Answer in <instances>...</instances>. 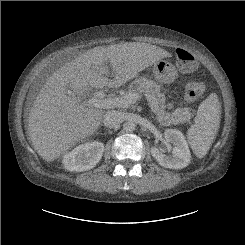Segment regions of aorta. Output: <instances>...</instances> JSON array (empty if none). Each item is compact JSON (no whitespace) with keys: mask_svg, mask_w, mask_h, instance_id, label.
<instances>
[{"mask_svg":"<svg viewBox=\"0 0 245 245\" xmlns=\"http://www.w3.org/2000/svg\"><path fill=\"white\" fill-rule=\"evenodd\" d=\"M135 128H136V124L133 121H126L123 124V129L126 132H133L135 130Z\"/></svg>","mask_w":245,"mask_h":245,"instance_id":"aorta-1","label":"aorta"}]
</instances>
